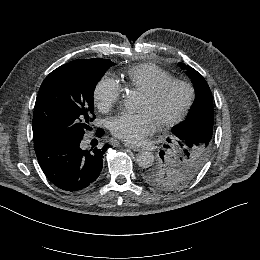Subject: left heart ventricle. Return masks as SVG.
Segmentation results:
<instances>
[{
  "mask_svg": "<svg viewBox=\"0 0 260 260\" xmlns=\"http://www.w3.org/2000/svg\"><path fill=\"white\" fill-rule=\"evenodd\" d=\"M186 100L187 91L180 86H172L156 101L148 100L141 93L139 109L147 110L157 125L174 116L184 106Z\"/></svg>",
  "mask_w": 260,
  "mask_h": 260,
  "instance_id": "b2bd125f",
  "label": "left heart ventricle"
}]
</instances>
